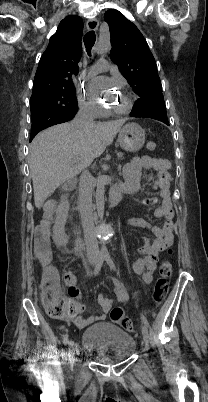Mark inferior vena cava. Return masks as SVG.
I'll use <instances>...</instances> for the list:
<instances>
[{
    "label": "inferior vena cava",
    "mask_w": 208,
    "mask_h": 402,
    "mask_svg": "<svg viewBox=\"0 0 208 402\" xmlns=\"http://www.w3.org/2000/svg\"><path fill=\"white\" fill-rule=\"evenodd\" d=\"M93 108L94 104H83V106H80L79 112L72 122L73 126L84 128V126L93 124ZM83 166H85V164H83ZM94 186V180L90 172H88V170H83L79 182L78 206L81 214L86 246H98L92 214V194Z\"/></svg>",
    "instance_id": "obj_1"
}]
</instances>
